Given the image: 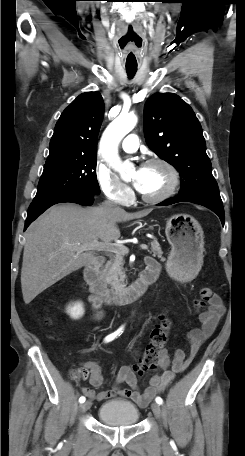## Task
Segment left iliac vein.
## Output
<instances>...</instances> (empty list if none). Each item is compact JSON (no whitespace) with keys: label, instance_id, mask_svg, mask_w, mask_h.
Masks as SVG:
<instances>
[{"label":"left iliac vein","instance_id":"4c4485c4","mask_svg":"<svg viewBox=\"0 0 245 456\" xmlns=\"http://www.w3.org/2000/svg\"><path fill=\"white\" fill-rule=\"evenodd\" d=\"M151 409H152L154 415L156 416V418L160 419L161 414H162L160 405L158 403H152Z\"/></svg>","mask_w":245,"mask_h":456}]
</instances>
